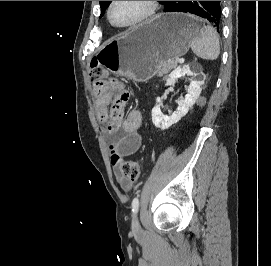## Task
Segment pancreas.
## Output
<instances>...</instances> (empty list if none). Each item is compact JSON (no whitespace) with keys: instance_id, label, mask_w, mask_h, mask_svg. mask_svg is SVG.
Returning a JSON list of instances; mask_svg holds the SVG:
<instances>
[{"instance_id":"cf45deb5","label":"pancreas","mask_w":271,"mask_h":266,"mask_svg":"<svg viewBox=\"0 0 271 266\" xmlns=\"http://www.w3.org/2000/svg\"><path fill=\"white\" fill-rule=\"evenodd\" d=\"M177 66V61H165L160 64L159 68L157 69V75L164 76L166 75L171 69Z\"/></svg>"}]
</instances>
